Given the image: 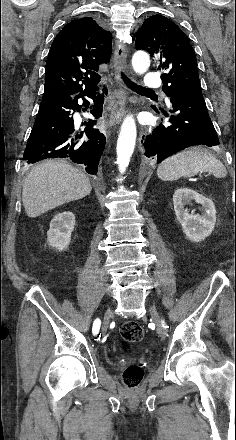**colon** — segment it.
I'll list each match as a JSON object with an SVG mask.
<instances>
[{
	"label": "colon",
	"instance_id": "obj_1",
	"mask_svg": "<svg viewBox=\"0 0 236 440\" xmlns=\"http://www.w3.org/2000/svg\"><path fill=\"white\" fill-rule=\"evenodd\" d=\"M121 335L126 344L140 341L144 330L140 324L128 321L121 326ZM144 372L139 365H130L123 372V382L129 389L138 387L143 380Z\"/></svg>",
	"mask_w": 236,
	"mask_h": 440
}]
</instances>
